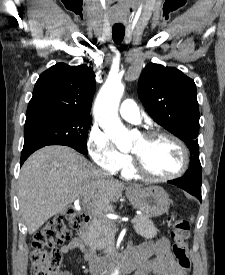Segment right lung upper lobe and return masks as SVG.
<instances>
[{
    "mask_svg": "<svg viewBox=\"0 0 225 275\" xmlns=\"http://www.w3.org/2000/svg\"><path fill=\"white\" fill-rule=\"evenodd\" d=\"M94 91L92 68L58 63L39 76L26 117L39 114L89 115Z\"/></svg>",
    "mask_w": 225,
    "mask_h": 275,
    "instance_id": "right-lung-upper-lobe-1",
    "label": "right lung upper lobe"
}]
</instances>
